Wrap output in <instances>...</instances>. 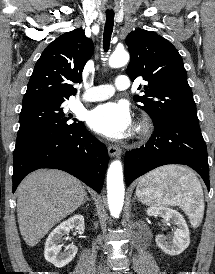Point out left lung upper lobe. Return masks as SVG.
I'll return each mask as SVG.
<instances>
[{
    "mask_svg": "<svg viewBox=\"0 0 215 274\" xmlns=\"http://www.w3.org/2000/svg\"><path fill=\"white\" fill-rule=\"evenodd\" d=\"M126 44L131 60L127 74L134 81L142 76L148 82L144 96L134 99L143 104L154 124L179 120L199 124L196 105L187 73L177 49L154 31L136 29L128 34Z\"/></svg>",
    "mask_w": 215,
    "mask_h": 274,
    "instance_id": "left-lung-upper-lobe-1",
    "label": "left lung upper lobe"
}]
</instances>
